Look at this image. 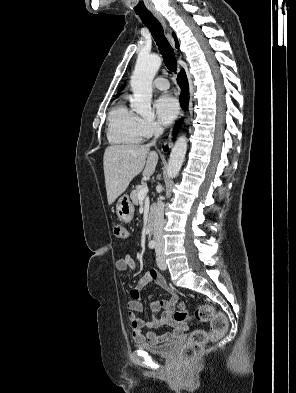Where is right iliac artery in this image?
Instances as JSON below:
<instances>
[{
    "label": "right iliac artery",
    "mask_w": 296,
    "mask_h": 393,
    "mask_svg": "<svg viewBox=\"0 0 296 393\" xmlns=\"http://www.w3.org/2000/svg\"><path fill=\"white\" fill-rule=\"evenodd\" d=\"M156 246V243L154 241L149 242V248L154 249Z\"/></svg>",
    "instance_id": "obj_1"
}]
</instances>
